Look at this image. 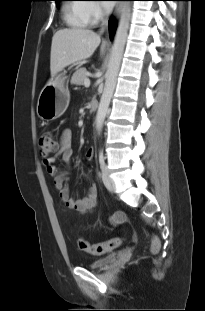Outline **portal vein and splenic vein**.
<instances>
[{"mask_svg":"<svg viewBox=\"0 0 205 311\" xmlns=\"http://www.w3.org/2000/svg\"><path fill=\"white\" fill-rule=\"evenodd\" d=\"M84 86H85V87H89V86H90V80H89L88 78H86V79L84 80Z\"/></svg>","mask_w":205,"mask_h":311,"instance_id":"portal-vein-and-splenic-vein-1","label":"portal vein and splenic vein"}]
</instances>
